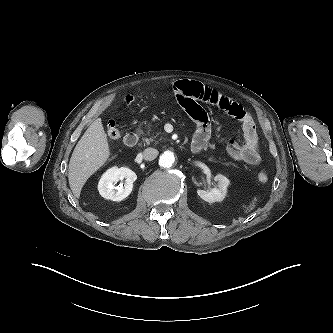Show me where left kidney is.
<instances>
[{"label": "left kidney", "mask_w": 333, "mask_h": 333, "mask_svg": "<svg viewBox=\"0 0 333 333\" xmlns=\"http://www.w3.org/2000/svg\"><path fill=\"white\" fill-rule=\"evenodd\" d=\"M215 181L218 182L217 187L212 188L209 191L201 189L197 190V194L200 196V198L208 203L223 201L227 193V187L230 184L229 179L221 174H217L215 176Z\"/></svg>", "instance_id": "obj_1"}]
</instances>
